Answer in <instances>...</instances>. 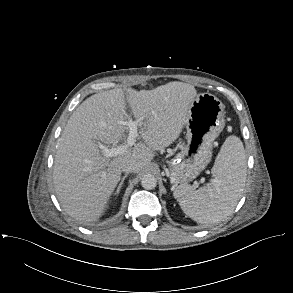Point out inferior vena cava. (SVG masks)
Listing matches in <instances>:
<instances>
[{"label": "inferior vena cava", "instance_id": "602c4592", "mask_svg": "<svg viewBox=\"0 0 293 293\" xmlns=\"http://www.w3.org/2000/svg\"><path fill=\"white\" fill-rule=\"evenodd\" d=\"M134 164L131 163V162H126L123 164L122 166V171L125 172V173H131L134 171Z\"/></svg>", "mask_w": 293, "mask_h": 293}]
</instances>
